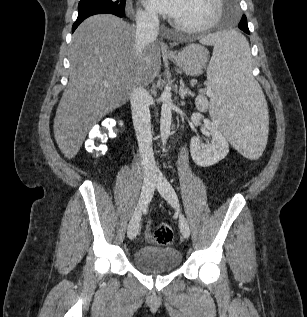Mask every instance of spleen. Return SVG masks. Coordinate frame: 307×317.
Here are the masks:
<instances>
[{
	"mask_svg": "<svg viewBox=\"0 0 307 317\" xmlns=\"http://www.w3.org/2000/svg\"><path fill=\"white\" fill-rule=\"evenodd\" d=\"M200 44L214 47L207 78L215 93L210 116L244 160H259L271 123L261 87L250 73V51L239 29L204 33Z\"/></svg>",
	"mask_w": 307,
	"mask_h": 317,
	"instance_id": "3e777b00",
	"label": "spleen"
}]
</instances>
